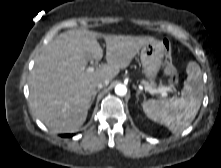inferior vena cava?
<instances>
[{"label": "inferior vena cava", "instance_id": "obj_1", "mask_svg": "<svg viewBox=\"0 0 221 168\" xmlns=\"http://www.w3.org/2000/svg\"><path fill=\"white\" fill-rule=\"evenodd\" d=\"M108 84H109V79L101 80L100 82H98L97 88L100 90L103 87L107 86Z\"/></svg>", "mask_w": 221, "mask_h": 168}]
</instances>
